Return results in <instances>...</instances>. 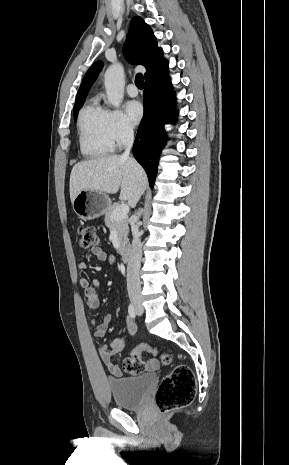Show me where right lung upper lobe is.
I'll use <instances>...</instances> for the list:
<instances>
[{
  "label": "right lung upper lobe",
  "instance_id": "cb5924a9",
  "mask_svg": "<svg viewBox=\"0 0 289 465\" xmlns=\"http://www.w3.org/2000/svg\"><path fill=\"white\" fill-rule=\"evenodd\" d=\"M123 53L128 62L146 68L145 83L168 75V61L164 59L162 49L157 47L152 29L139 16L132 19ZM101 68L102 62L97 61L88 69L78 90L76 102L85 100Z\"/></svg>",
  "mask_w": 289,
  "mask_h": 465
}]
</instances>
